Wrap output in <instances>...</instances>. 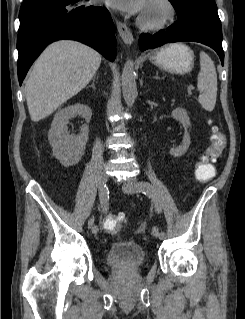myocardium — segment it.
Listing matches in <instances>:
<instances>
[{"label": "myocardium", "instance_id": "myocardium-1", "mask_svg": "<svg viewBox=\"0 0 245 319\" xmlns=\"http://www.w3.org/2000/svg\"><path fill=\"white\" fill-rule=\"evenodd\" d=\"M156 3L164 9V16L158 20H149L143 14L138 18V25L146 31H159L171 25L177 16L175 5L171 0H148L147 4Z\"/></svg>", "mask_w": 245, "mask_h": 319}]
</instances>
